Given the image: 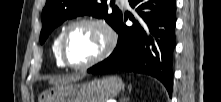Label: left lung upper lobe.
Returning <instances> with one entry per match:
<instances>
[{
	"label": "left lung upper lobe",
	"mask_w": 221,
	"mask_h": 102,
	"mask_svg": "<svg viewBox=\"0 0 221 102\" xmlns=\"http://www.w3.org/2000/svg\"><path fill=\"white\" fill-rule=\"evenodd\" d=\"M113 5V3H110ZM107 0H46L42 11V30L40 43H44L52 30L68 18L88 14L98 18H104L115 30H117L122 13L115 7L112 13L108 11Z\"/></svg>",
	"instance_id": "1"
}]
</instances>
